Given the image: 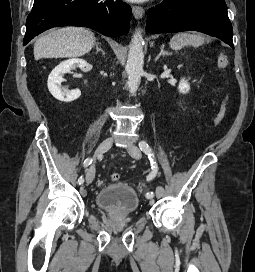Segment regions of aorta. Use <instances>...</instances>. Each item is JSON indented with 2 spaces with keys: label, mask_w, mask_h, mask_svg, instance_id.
Returning <instances> with one entry per match:
<instances>
[{
  "label": "aorta",
  "mask_w": 255,
  "mask_h": 272,
  "mask_svg": "<svg viewBox=\"0 0 255 272\" xmlns=\"http://www.w3.org/2000/svg\"><path fill=\"white\" fill-rule=\"evenodd\" d=\"M144 40L142 32L137 29L131 39V44L128 53V59L125 70L128 75L127 85L130 93H135L140 85L141 76L143 74L144 53H143Z\"/></svg>",
  "instance_id": "obj_1"
}]
</instances>
